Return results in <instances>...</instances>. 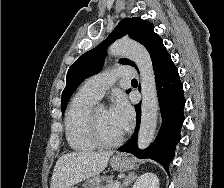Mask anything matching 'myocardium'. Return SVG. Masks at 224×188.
Returning <instances> with one entry per match:
<instances>
[{
	"label": "myocardium",
	"instance_id": "obj_1",
	"mask_svg": "<svg viewBox=\"0 0 224 188\" xmlns=\"http://www.w3.org/2000/svg\"><path fill=\"white\" fill-rule=\"evenodd\" d=\"M100 108L103 106H94L89 112L87 118V129L92 141L100 147H114L123 142L125 133L123 132L119 137L113 140L105 139L99 130L97 114Z\"/></svg>",
	"mask_w": 224,
	"mask_h": 188
}]
</instances>
